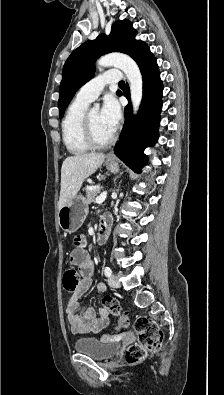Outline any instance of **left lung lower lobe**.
<instances>
[{
	"mask_svg": "<svg viewBox=\"0 0 224 395\" xmlns=\"http://www.w3.org/2000/svg\"><path fill=\"white\" fill-rule=\"evenodd\" d=\"M134 60L142 73L143 98L139 113L134 118L128 86L124 91L129 104L125 107V124L114 152L133 171L140 173L146 163L144 148L154 145L158 139L163 86L156 59L148 47L145 46Z\"/></svg>",
	"mask_w": 224,
	"mask_h": 395,
	"instance_id": "1",
	"label": "left lung lower lobe"
}]
</instances>
